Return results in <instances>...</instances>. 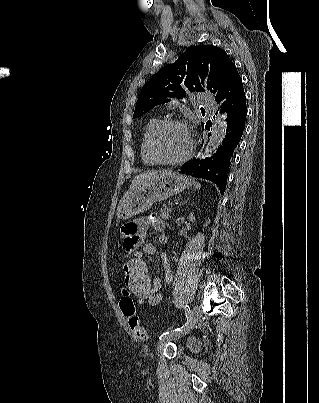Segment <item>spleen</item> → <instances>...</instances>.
I'll list each match as a JSON object with an SVG mask.
<instances>
[{"instance_id":"1","label":"spleen","mask_w":319,"mask_h":403,"mask_svg":"<svg viewBox=\"0 0 319 403\" xmlns=\"http://www.w3.org/2000/svg\"><path fill=\"white\" fill-rule=\"evenodd\" d=\"M194 185H195V188H196V189H200V188H201V185H200L199 183H197V182H195Z\"/></svg>"}]
</instances>
